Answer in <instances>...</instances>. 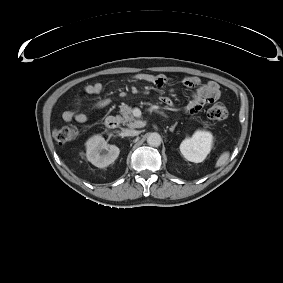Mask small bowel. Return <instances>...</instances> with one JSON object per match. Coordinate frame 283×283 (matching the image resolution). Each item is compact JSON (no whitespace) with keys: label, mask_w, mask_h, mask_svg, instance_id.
I'll list each match as a JSON object with an SVG mask.
<instances>
[{"label":"small bowel","mask_w":283,"mask_h":283,"mask_svg":"<svg viewBox=\"0 0 283 283\" xmlns=\"http://www.w3.org/2000/svg\"><path fill=\"white\" fill-rule=\"evenodd\" d=\"M133 79L138 82H146L151 84H157L163 86L166 84L164 78H160L151 73H137L133 76ZM185 85L188 87H197L191 100L186 105V111L189 113H195L200 111L205 105L212 103L219 99L221 92L219 85L214 81H207L203 84H199L200 81L197 77H188L184 80ZM101 83H90L84 87V92L89 95H97L102 92ZM162 101L167 105H172V101L169 97H163ZM110 104V99L104 98L95 103V108L102 109ZM63 120L66 122L76 121L79 123H85L88 120L86 114L78 110H67L62 115Z\"/></svg>","instance_id":"small-bowel-1"}]
</instances>
